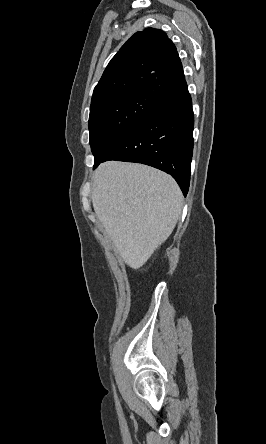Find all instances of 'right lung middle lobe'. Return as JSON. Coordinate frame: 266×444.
Listing matches in <instances>:
<instances>
[{"label": "right lung middle lobe", "mask_w": 266, "mask_h": 444, "mask_svg": "<svg viewBox=\"0 0 266 444\" xmlns=\"http://www.w3.org/2000/svg\"><path fill=\"white\" fill-rule=\"evenodd\" d=\"M162 102L153 94L137 91L122 94L90 108L88 126L94 166Z\"/></svg>", "instance_id": "dd1d6c3e"}]
</instances>
